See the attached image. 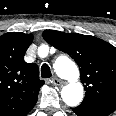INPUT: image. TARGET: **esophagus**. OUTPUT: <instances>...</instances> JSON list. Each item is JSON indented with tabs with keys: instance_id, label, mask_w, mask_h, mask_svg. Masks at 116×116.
Wrapping results in <instances>:
<instances>
[{
	"instance_id": "1",
	"label": "esophagus",
	"mask_w": 116,
	"mask_h": 116,
	"mask_svg": "<svg viewBox=\"0 0 116 116\" xmlns=\"http://www.w3.org/2000/svg\"><path fill=\"white\" fill-rule=\"evenodd\" d=\"M51 83L54 84L55 86H61L63 84L62 80L57 77H53L51 79Z\"/></svg>"
}]
</instances>
